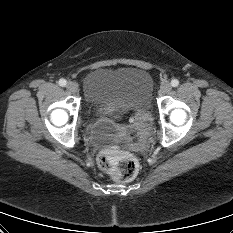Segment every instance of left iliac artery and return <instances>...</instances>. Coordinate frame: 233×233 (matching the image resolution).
Segmentation results:
<instances>
[{"label": "left iliac artery", "instance_id": "left-iliac-artery-1", "mask_svg": "<svg viewBox=\"0 0 233 233\" xmlns=\"http://www.w3.org/2000/svg\"><path fill=\"white\" fill-rule=\"evenodd\" d=\"M171 85H172L173 87H177V86L179 85V81H178L177 79H173V80L171 81Z\"/></svg>", "mask_w": 233, "mask_h": 233}]
</instances>
